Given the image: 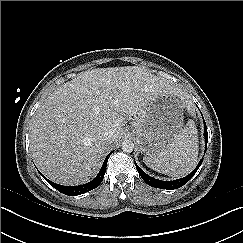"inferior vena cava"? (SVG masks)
Returning a JSON list of instances; mask_svg holds the SVG:
<instances>
[{
	"label": "inferior vena cava",
	"instance_id": "inferior-vena-cava-1",
	"mask_svg": "<svg viewBox=\"0 0 243 243\" xmlns=\"http://www.w3.org/2000/svg\"><path fill=\"white\" fill-rule=\"evenodd\" d=\"M115 137H116V134H115V130H113V129H108L105 132H103V134H102V138L106 143L114 142Z\"/></svg>",
	"mask_w": 243,
	"mask_h": 243
}]
</instances>
